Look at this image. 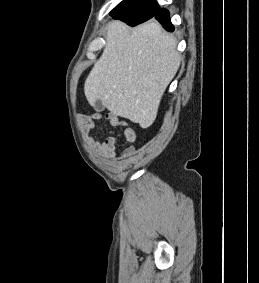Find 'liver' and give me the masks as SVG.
<instances>
[{
	"label": "liver",
	"instance_id": "6515ba94",
	"mask_svg": "<svg viewBox=\"0 0 259 283\" xmlns=\"http://www.w3.org/2000/svg\"><path fill=\"white\" fill-rule=\"evenodd\" d=\"M176 46L154 21L133 30L111 21L104 51L84 84L87 101L94 106L100 100L112 114L148 128L179 68Z\"/></svg>",
	"mask_w": 259,
	"mask_h": 283
}]
</instances>
